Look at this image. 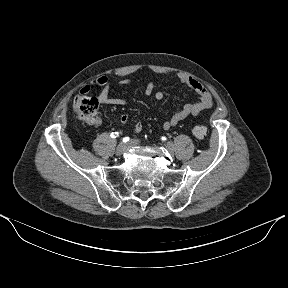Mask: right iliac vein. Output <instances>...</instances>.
Instances as JSON below:
<instances>
[{"label": "right iliac vein", "instance_id": "1", "mask_svg": "<svg viewBox=\"0 0 288 288\" xmlns=\"http://www.w3.org/2000/svg\"><path fill=\"white\" fill-rule=\"evenodd\" d=\"M127 145L125 143H121L116 148V154L121 155L126 151Z\"/></svg>", "mask_w": 288, "mask_h": 288}]
</instances>
